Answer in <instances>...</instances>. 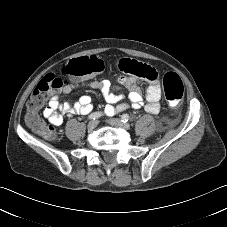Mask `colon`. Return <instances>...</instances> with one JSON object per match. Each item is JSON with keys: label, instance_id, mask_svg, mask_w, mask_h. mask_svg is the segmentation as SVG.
Here are the masks:
<instances>
[{"label": "colon", "instance_id": "obj_1", "mask_svg": "<svg viewBox=\"0 0 227 227\" xmlns=\"http://www.w3.org/2000/svg\"><path fill=\"white\" fill-rule=\"evenodd\" d=\"M104 65L95 55H89L71 59L62 67V73L72 79H85L101 73ZM128 72L153 80L157 77L156 70L148 64L130 60L127 66ZM66 79L56 74L46 75L34 88L27 101V124L38 134L47 140H53L56 136L52 126H48L39 118V110L45 100L64 87ZM164 96L167 104L176 107L183 98L184 87L181 78L174 72H167L163 76Z\"/></svg>", "mask_w": 227, "mask_h": 227}]
</instances>
